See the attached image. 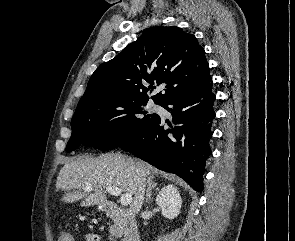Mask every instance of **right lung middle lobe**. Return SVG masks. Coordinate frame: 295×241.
Wrapping results in <instances>:
<instances>
[{
    "label": "right lung middle lobe",
    "mask_w": 295,
    "mask_h": 241,
    "mask_svg": "<svg viewBox=\"0 0 295 241\" xmlns=\"http://www.w3.org/2000/svg\"><path fill=\"white\" fill-rule=\"evenodd\" d=\"M146 105L121 97L80 101L71 121L72 135L66 151L81 144L99 150L121 146L157 119L158 115L148 112Z\"/></svg>",
    "instance_id": "obj_1"
}]
</instances>
